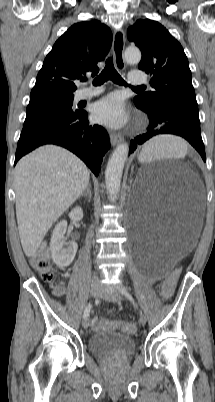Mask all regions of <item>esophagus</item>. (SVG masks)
<instances>
[{
	"label": "esophagus",
	"instance_id": "obj_1",
	"mask_svg": "<svg viewBox=\"0 0 215 402\" xmlns=\"http://www.w3.org/2000/svg\"><path fill=\"white\" fill-rule=\"evenodd\" d=\"M125 47V34L122 29H116L113 34L112 52L115 61V65L119 70L125 69V62L123 58ZM123 140V137L119 134L112 133L110 135V141L113 146L117 145Z\"/></svg>",
	"mask_w": 215,
	"mask_h": 402
}]
</instances>
